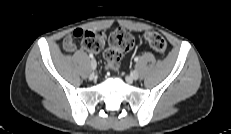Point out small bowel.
<instances>
[{
    "label": "small bowel",
    "instance_id": "small-bowel-1",
    "mask_svg": "<svg viewBox=\"0 0 231 134\" xmlns=\"http://www.w3.org/2000/svg\"><path fill=\"white\" fill-rule=\"evenodd\" d=\"M63 48L66 52L71 53L75 50V40L72 34L68 35L63 41Z\"/></svg>",
    "mask_w": 231,
    "mask_h": 134
}]
</instances>
